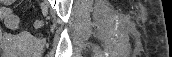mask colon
I'll return each mask as SVG.
<instances>
[{
	"mask_svg": "<svg viewBox=\"0 0 172 57\" xmlns=\"http://www.w3.org/2000/svg\"><path fill=\"white\" fill-rule=\"evenodd\" d=\"M0 18H2L6 26L10 29H17L20 26V19L12 12L10 8L3 7L0 9ZM44 25L42 20H36L33 23L35 29H40Z\"/></svg>",
	"mask_w": 172,
	"mask_h": 57,
	"instance_id": "obj_1",
	"label": "colon"
}]
</instances>
